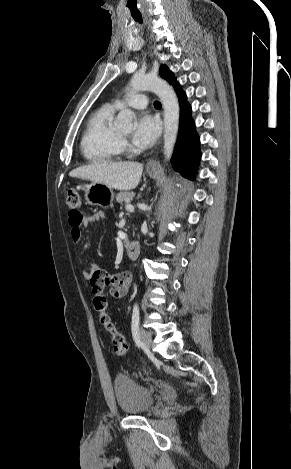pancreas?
Segmentation results:
<instances>
[{"mask_svg": "<svg viewBox=\"0 0 291 469\" xmlns=\"http://www.w3.org/2000/svg\"><path fill=\"white\" fill-rule=\"evenodd\" d=\"M134 195H135L134 192H120L117 194L116 200L120 204L124 202L128 204L133 199Z\"/></svg>", "mask_w": 291, "mask_h": 469, "instance_id": "1", "label": "pancreas"}]
</instances>
